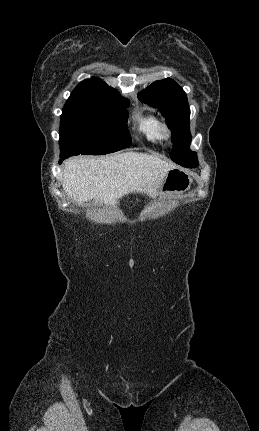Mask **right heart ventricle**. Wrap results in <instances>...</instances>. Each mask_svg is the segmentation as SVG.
Masks as SVG:
<instances>
[{
    "label": "right heart ventricle",
    "mask_w": 259,
    "mask_h": 431,
    "mask_svg": "<svg viewBox=\"0 0 259 431\" xmlns=\"http://www.w3.org/2000/svg\"><path fill=\"white\" fill-rule=\"evenodd\" d=\"M135 120L138 132L148 141L155 142L161 138V123L155 115L138 113Z\"/></svg>",
    "instance_id": "e07e8e85"
}]
</instances>
